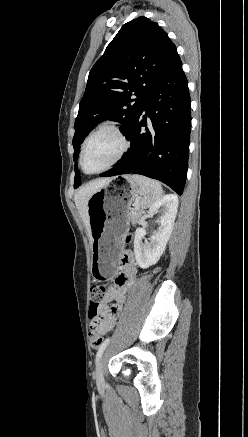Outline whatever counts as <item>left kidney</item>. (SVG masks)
Returning a JSON list of instances; mask_svg holds the SVG:
<instances>
[{
    "label": "left kidney",
    "instance_id": "obj_1",
    "mask_svg": "<svg viewBox=\"0 0 248 437\" xmlns=\"http://www.w3.org/2000/svg\"><path fill=\"white\" fill-rule=\"evenodd\" d=\"M178 208V198L173 194L163 196L149 208V215L153 216L158 211L161 217L158 220V228L150 238L145 240L146 230L138 228L134 238V253L137 264L146 269L155 264L163 254L170 238Z\"/></svg>",
    "mask_w": 248,
    "mask_h": 437
}]
</instances>
